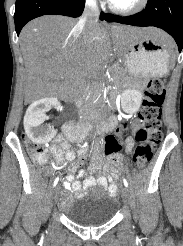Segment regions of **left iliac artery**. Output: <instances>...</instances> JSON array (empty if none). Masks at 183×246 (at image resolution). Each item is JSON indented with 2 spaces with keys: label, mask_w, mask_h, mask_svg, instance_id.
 I'll use <instances>...</instances> for the list:
<instances>
[{
  "label": "left iliac artery",
  "mask_w": 183,
  "mask_h": 246,
  "mask_svg": "<svg viewBox=\"0 0 183 246\" xmlns=\"http://www.w3.org/2000/svg\"><path fill=\"white\" fill-rule=\"evenodd\" d=\"M123 182H124L125 187L128 188V182L125 178L123 179Z\"/></svg>",
  "instance_id": "left-iliac-artery-1"
}]
</instances>
